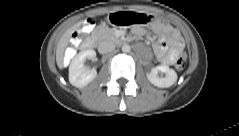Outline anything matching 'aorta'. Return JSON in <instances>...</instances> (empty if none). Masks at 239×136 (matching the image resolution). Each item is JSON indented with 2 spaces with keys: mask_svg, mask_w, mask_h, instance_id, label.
<instances>
[{
  "mask_svg": "<svg viewBox=\"0 0 239 136\" xmlns=\"http://www.w3.org/2000/svg\"><path fill=\"white\" fill-rule=\"evenodd\" d=\"M122 51H123V52H126V53L129 52V51H130V46L127 45V44L123 45V46H122Z\"/></svg>",
  "mask_w": 239,
  "mask_h": 136,
  "instance_id": "obj_1",
  "label": "aorta"
}]
</instances>
